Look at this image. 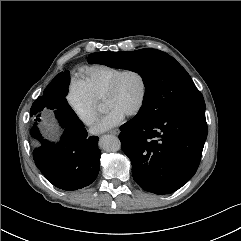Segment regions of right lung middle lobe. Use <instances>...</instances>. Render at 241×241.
<instances>
[{"mask_svg":"<svg viewBox=\"0 0 241 241\" xmlns=\"http://www.w3.org/2000/svg\"><path fill=\"white\" fill-rule=\"evenodd\" d=\"M70 83L69 71L61 72L45 88L43 96H39L33 103L30 115L36 117L35 121H40V113L46 109L53 110L56 118L61 124V127L74 126L83 127V123L70 105L67 103L65 96L68 93V86ZM37 123H35L36 125ZM31 129L33 138L40 140L41 134L37 126Z\"/></svg>","mask_w":241,"mask_h":241,"instance_id":"obj_1","label":"right lung middle lobe"}]
</instances>
